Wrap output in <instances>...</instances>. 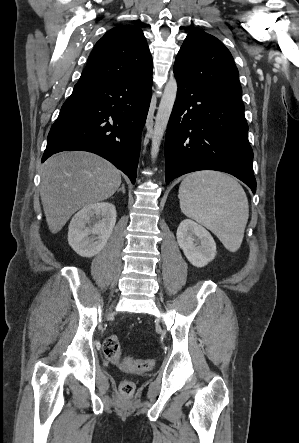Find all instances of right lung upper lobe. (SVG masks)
Listing matches in <instances>:
<instances>
[{
	"instance_id": "obj_1",
	"label": "right lung upper lobe",
	"mask_w": 299,
	"mask_h": 443,
	"mask_svg": "<svg viewBox=\"0 0 299 443\" xmlns=\"http://www.w3.org/2000/svg\"><path fill=\"white\" fill-rule=\"evenodd\" d=\"M146 39L136 26H117L95 45L78 83H105L152 74Z\"/></svg>"
}]
</instances>
